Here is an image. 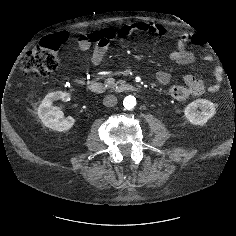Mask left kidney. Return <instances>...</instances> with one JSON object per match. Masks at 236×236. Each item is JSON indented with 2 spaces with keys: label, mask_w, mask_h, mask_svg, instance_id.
<instances>
[{
  "label": "left kidney",
  "mask_w": 236,
  "mask_h": 236,
  "mask_svg": "<svg viewBox=\"0 0 236 236\" xmlns=\"http://www.w3.org/2000/svg\"><path fill=\"white\" fill-rule=\"evenodd\" d=\"M198 108L201 111H198ZM216 113L215 104L207 99H197L189 103L185 110L184 116L193 125H204Z\"/></svg>",
  "instance_id": "left-kidney-1"
}]
</instances>
